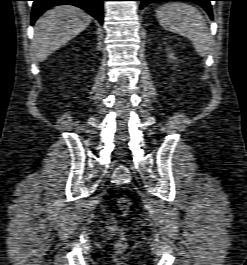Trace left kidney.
Masks as SVG:
<instances>
[{
	"instance_id": "left-kidney-1",
	"label": "left kidney",
	"mask_w": 247,
	"mask_h": 265,
	"mask_svg": "<svg viewBox=\"0 0 247 265\" xmlns=\"http://www.w3.org/2000/svg\"><path fill=\"white\" fill-rule=\"evenodd\" d=\"M168 58H169L171 61L176 60V57L174 56V53H172V52H168Z\"/></svg>"
}]
</instances>
